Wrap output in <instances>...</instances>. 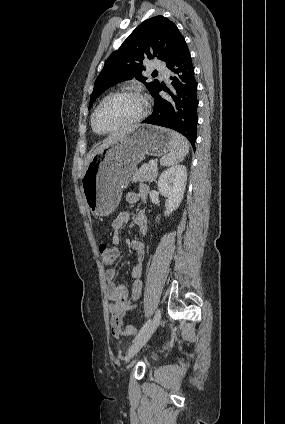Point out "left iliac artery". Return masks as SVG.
<instances>
[{
    "instance_id": "left-iliac-artery-1",
    "label": "left iliac artery",
    "mask_w": 285,
    "mask_h": 424,
    "mask_svg": "<svg viewBox=\"0 0 285 424\" xmlns=\"http://www.w3.org/2000/svg\"><path fill=\"white\" fill-rule=\"evenodd\" d=\"M150 323H151L150 319L148 321H146V323L139 330V332H138L137 336L135 337V339L133 340V342L145 332V330L149 327Z\"/></svg>"
}]
</instances>
